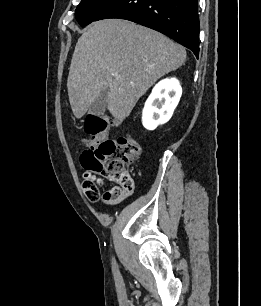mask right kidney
Returning <instances> with one entry per match:
<instances>
[{
  "instance_id": "ca27d5eb",
  "label": "right kidney",
  "mask_w": 261,
  "mask_h": 306,
  "mask_svg": "<svg viewBox=\"0 0 261 306\" xmlns=\"http://www.w3.org/2000/svg\"><path fill=\"white\" fill-rule=\"evenodd\" d=\"M182 95V87L176 78H166L155 85L145 102L142 113L143 126L154 130L169 121Z\"/></svg>"
}]
</instances>
